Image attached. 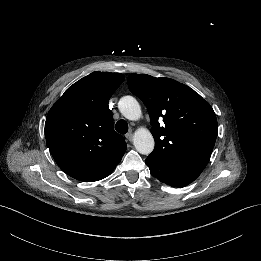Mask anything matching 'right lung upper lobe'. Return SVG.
I'll use <instances>...</instances> for the list:
<instances>
[{
    "instance_id": "cb5924a9",
    "label": "right lung upper lobe",
    "mask_w": 261,
    "mask_h": 261,
    "mask_svg": "<svg viewBox=\"0 0 261 261\" xmlns=\"http://www.w3.org/2000/svg\"><path fill=\"white\" fill-rule=\"evenodd\" d=\"M123 80L120 73L93 72L70 86L50 109L47 146L69 176L84 182L100 180L124 155L126 143L114 131L108 107Z\"/></svg>"
}]
</instances>
